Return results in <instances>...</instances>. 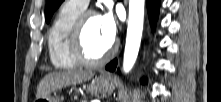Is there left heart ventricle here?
<instances>
[{
  "label": "left heart ventricle",
  "mask_w": 221,
  "mask_h": 102,
  "mask_svg": "<svg viewBox=\"0 0 221 102\" xmlns=\"http://www.w3.org/2000/svg\"><path fill=\"white\" fill-rule=\"evenodd\" d=\"M86 54L91 58L102 56L112 43L107 41L101 32L99 17H90L86 23L83 35Z\"/></svg>",
  "instance_id": "left-heart-ventricle-1"
}]
</instances>
